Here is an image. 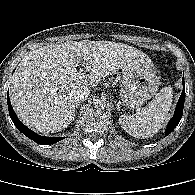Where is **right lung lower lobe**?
Segmentation results:
<instances>
[{
  "mask_svg": "<svg viewBox=\"0 0 195 195\" xmlns=\"http://www.w3.org/2000/svg\"><path fill=\"white\" fill-rule=\"evenodd\" d=\"M7 102H8V110H9V115L14 123V125L17 127V129L23 133L25 136L28 138L32 139L34 142L38 144H44V145H50L53 143H56L65 137H45V136H40L36 134L34 131L30 130L28 127H26L17 117L15 114L10 99H9V92L7 94Z\"/></svg>",
  "mask_w": 195,
  "mask_h": 195,
  "instance_id": "obj_1",
  "label": "right lung lower lobe"
}]
</instances>
